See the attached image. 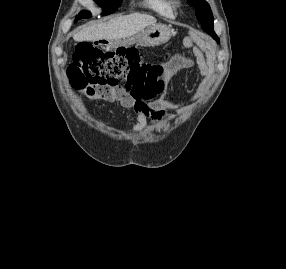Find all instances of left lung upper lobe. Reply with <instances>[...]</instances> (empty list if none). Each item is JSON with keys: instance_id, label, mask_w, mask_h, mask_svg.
<instances>
[{"instance_id": "left-lung-upper-lobe-1", "label": "left lung upper lobe", "mask_w": 286, "mask_h": 269, "mask_svg": "<svg viewBox=\"0 0 286 269\" xmlns=\"http://www.w3.org/2000/svg\"><path fill=\"white\" fill-rule=\"evenodd\" d=\"M190 5L196 8V16L202 23V29L219 41L213 29V15L209 4L204 0H187Z\"/></svg>"}]
</instances>
